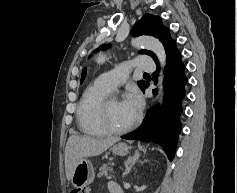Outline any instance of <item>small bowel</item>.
Here are the masks:
<instances>
[{
  "mask_svg": "<svg viewBox=\"0 0 237 193\" xmlns=\"http://www.w3.org/2000/svg\"><path fill=\"white\" fill-rule=\"evenodd\" d=\"M110 189H111L112 193H121L120 189L118 188V186L115 185L114 183L110 184Z\"/></svg>",
  "mask_w": 237,
  "mask_h": 193,
  "instance_id": "c3829d8e",
  "label": "small bowel"
}]
</instances>
